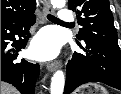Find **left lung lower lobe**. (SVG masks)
<instances>
[{
	"instance_id": "left-lung-lower-lobe-1",
	"label": "left lung lower lobe",
	"mask_w": 121,
	"mask_h": 94,
	"mask_svg": "<svg viewBox=\"0 0 121 94\" xmlns=\"http://www.w3.org/2000/svg\"><path fill=\"white\" fill-rule=\"evenodd\" d=\"M85 55L75 52L67 65L64 94L88 82H101L121 90V51L118 43L84 40Z\"/></svg>"
}]
</instances>
